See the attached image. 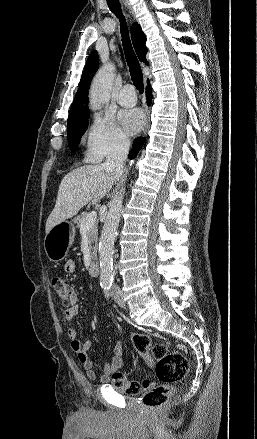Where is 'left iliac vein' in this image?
Here are the masks:
<instances>
[{
	"instance_id": "obj_1",
	"label": "left iliac vein",
	"mask_w": 257,
	"mask_h": 439,
	"mask_svg": "<svg viewBox=\"0 0 257 439\" xmlns=\"http://www.w3.org/2000/svg\"><path fill=\"white\" fill-rule=\"evenodd\" d=\"M112 296H113V299L115 300V302L119 305V306H125L126 305V302H125V300H124V298H123V296H122V293L120 292V291H118V290H113L112 291Z\"/></svg>"
}]
</instances>
